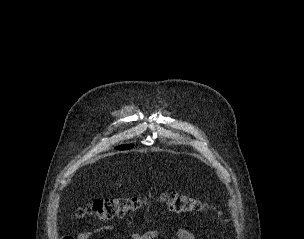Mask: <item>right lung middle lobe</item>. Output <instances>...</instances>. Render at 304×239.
<instances>
[{
	"mask_svg": "<svg viewBox=\"0 0 304 239\" xmlns=\"http://www.w3.org/2000/svg\"><path fill=\"white\" fill-rule=\"evenodd\" d=\"M133 145H121V146H118L117 149L119 150H125V149H129L131 148Z\"/></svg>",
	"mask_w": 304,
	"mask_h": 239,
	"instance_id": "dd1d6c3e",
	"label": "right lung middle lobe"
}]
</instances>
